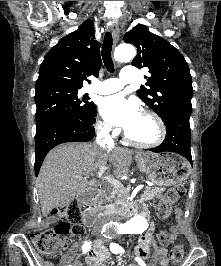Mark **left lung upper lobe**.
I'll return each mask as SVG.
<instances>
[{"label": "left lung upper lobe", "instance_id": "obj_1", "mask_svg": "<svg viewBox=\"0 0 221 266\" xmlns=\"http://www.w3.org/2000/svg\"><path fill=\"white\" fill-rule=\"evenodd\" d=\"M124 41L137 47L132 65L148 67L151 77L141 85L138 97L166 124L174 116L191 115L192 77L184 56L168 41L138 24L124 35Z\"/></svg>", "mask_w": 221, "mask_h": 266}]
</instances>
